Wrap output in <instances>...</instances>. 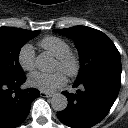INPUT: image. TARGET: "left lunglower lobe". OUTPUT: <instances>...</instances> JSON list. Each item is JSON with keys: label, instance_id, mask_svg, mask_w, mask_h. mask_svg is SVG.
Instances as JSON below:
<instances>
[{"label": "left lung lower lobe", "instance_id": "obj_1", "mask_svg": "<svg viewBox=\"0 0 128 128\" xmlns=\"http://www.w3.org/2000/svg\"><path fill=\"white\" fill-rule=\"evenodd\" d=\"M83 86L76 94L64 91L67 108L57 113L61 122L71 128H90L110 111L121 86V68L101 67L92 71L73 87Z\"/></svg>", "mask_w": 128, "mask_h": 128}]
</instances>
